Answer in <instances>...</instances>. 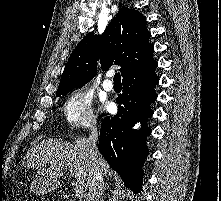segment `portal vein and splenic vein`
Instances as JSON below:
<instances>
[{
	"instance_id": "obj_1",
	"label": "portal vein and splenic vein",
	"mask_w": 221,
	"mask_h": 201,
	"mask_svg": "<svg viewBox=\"0 0 221 201\" xmlns=\"http://www.w3.org/2000/svg\"><path fill=\"white\" fill-rule=\"evenodd\" d=\"M69 171H72V170H69ZM75 196L77 198H82L84 196V188L82 186H76L75 187Z\"/></svg>"
}]
</instances>
